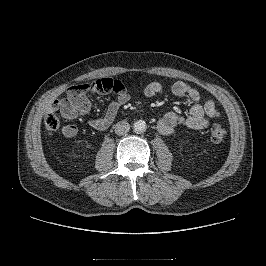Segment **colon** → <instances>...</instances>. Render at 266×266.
<instances>
[{
    "instance_id": "5ec220e1",
    "label": "colon",
    "mask_w": 266,
    "mask_h": 266,
    "mask_svg": "<svg viewBox=\"0 0 266 266\" xmlns=\"http://www.w3.org/2000/svg\"><path fill=\"white\" fill-rule=\"evenodd\" d=\"M124 90L123 84L113 78H100L91 82H85L77 84L69 90V93L76 97L79 94H84L86 92L90 93H120ZM45 129L49 132H57L60 127V120L57 111L50 108L44 117ZM227 135L226 128L220 123H214L210 127V141L214 145H220Z\"/></svg>"
}]
</instances>
